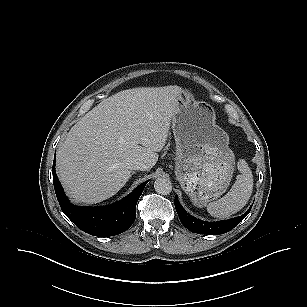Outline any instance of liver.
Masks as SVG:
<instances>
[{"instance_id":"obj_1","label":"liver","mask_w":307,"mask_h":307,"mask_svg":"<svg viewBox=\"0 0 307 307\" xmlns=\"http://www.w3.org/2000/svg\"><path fill=\"white\" fill-rule=\"evenodd\" d=\"M179 86L133 88L104 99L68 132L56 154L58 178L69 198L94 204L115 195L131 177L158 161L167 141Z\"/></svg>"}]
</instances>
